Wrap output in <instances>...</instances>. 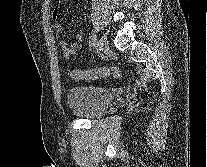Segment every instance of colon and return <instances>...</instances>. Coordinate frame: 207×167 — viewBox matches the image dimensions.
<instances>
[{
    "mask_svg": "<svg viewBox=\"0 0 207 167\" xmlns=\"http://www.w3.org/2000/svg\"><path fill=\"white\" fill-rule=\"evenodd\" d=\"M68 76L73 80L93 81L106 77L120 79L122 73L115 67H106L99 69H71L68 71Z\"/></svg>",
    "mask_w": 207,
    "mask_h": 167,
    "instance_id": "5ec220e1",
    "label": "colon"
}]
</instances>
